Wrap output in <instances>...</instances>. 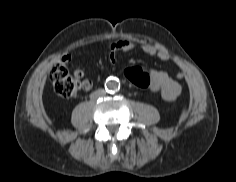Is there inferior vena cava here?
<instances>
[{
	"mask_svg": "<svg viewBox=\"0 0 236 182\" xmlns=\"http://www.w3.org/2000/svg\"><path fill=\"white\" fill-rule=\"evenodd\" d=\"M96 93L99 94V95H102V94L105 93V91L103 89H99V90L96 91Z\"/></svg>",
	"mask_w": 236,
	"mask_h": 182,
	"instance_id": "602c4592",
	"label": "inferior vena cava"
}]
</instances>
